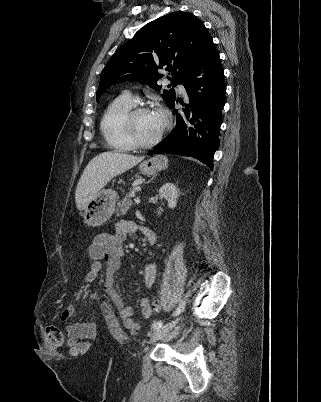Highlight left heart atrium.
Wrapping results in <instances>:
<instances>
[{"label":"left heart atrium","mask_w":321,"mask_h":402,"mask_svg":"<svg viewBox=\"0 0 321 402\" xmlns=\"http://www.w3.org/2000/svg\"><path fill=\"white\" fill-rule=\"evenodd\" d=\"M157 115H160V116H163V114H162V112L161 111H154Z\"/></svg>","instance_id":"obj_1"}]
</instances>
